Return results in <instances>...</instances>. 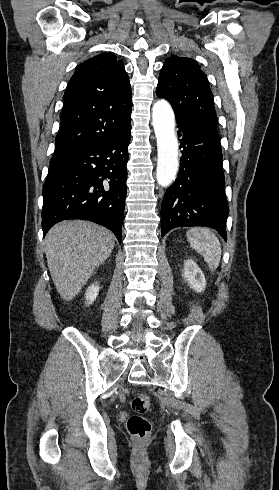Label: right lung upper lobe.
<instances>
[{
	"mask_svg": "<svg viewBox=\"0 0 279 490\" xmlns=\"http://www.w3.org/2000/svg\"><path fill=\"white\" fill-rule=\"evenodd\" d=\"M63 99L50 163L97 145L131 126L129 77L123 63L111 53L78 65Z\"/></svg>",
	"mask_w": 279,
	"mask_h": 490,
	"instance_id": "1",
	"label": "right lung upper lobe"
}]
</instances>
